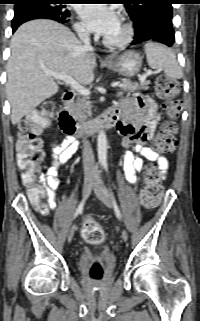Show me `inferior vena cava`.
<instances>
[{
	"instance_id": "1",
	"label": "inferior vena cava",
	"mask_w": 200,
	"mask_h": 321,
	"mask_svg": "<svg viewBox=\"0 0 200 321\" xmlns=\"http://www.w3.org/2000/svg\"><path fill=\"white\" fill-rule=\"evenodd\" d=\"M78 36L80 40L83 42L84 48L87 50H92V46L90 43V33L85 29H80L78 31ZM83 166L86 176H97L98 172L97 167L95 165L94 155L92 152L91 145L87 140L86 136L83 138Z\"/></svg>"
}]
</instances>
